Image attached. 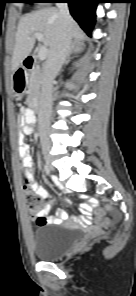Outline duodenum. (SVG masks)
<instances>
[{
    "label": "duodenum",
    "instance_id": "1",
    "mask_svg": "<svg viewBox=\"0 0 136 296\" xmlns=\"http://www.w3.org/2000/svg\"><path fill=\"white\" fill-rule=\"evenodd\" d=\"M36 59L34 56H28L23 61V67L18 69L16 72V80L23 84L25 82V72L30 71L34 68Z\"/></svg>",
    "mask_w": 136,
    "mask_h": 296
}]
</instances>
